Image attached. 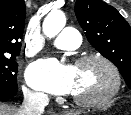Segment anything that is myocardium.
<instances>
[{
  "instance_id": "1",
  "label": "myocardium",
  "mask_w": 131,
  "mask_h": 115,
  "mask_svg": "<svg viewBox=\"0 0 131 115\" xmlns=\"http://www.w3.org/2000/svg\"><path fill=\"white\" fill-rule=\"evenodd\" d=\"M90 61H100L110 70L113 77V85L111 89L105 95L101 97L86 99V98H79L73 95L71 99L77 105H80L83 107H98V106H102L108 103L120 92L121 83H122L121 74L118 67L109 58H107L106 56L102 54H97V53L81 56L80 58L77 59L76 66H79L81 64H84Z\"/></svg>"
}]
</instances>
